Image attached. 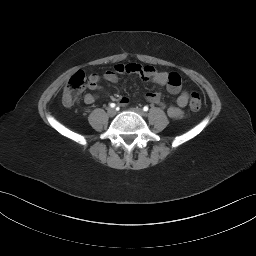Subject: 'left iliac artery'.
Listing matches in <instances>:
<instances>
[{
	"instance_id": "44dca946",
	"label": "left iliac artery",
	"mask_w": 256,
	"mask_h": 256,
	"mask_svg": "<svg viewBox=\"0 0 256 256\" xmlns=\"http://www.w3.org/2000/svg\"><path fill=\"white\" fill-rule=\"evenodd\" d=\"M148 109H149L148 106H144V107H143V110H144V111H148Z\"/></svg>"
}]
</instances>
